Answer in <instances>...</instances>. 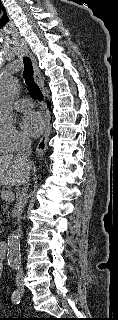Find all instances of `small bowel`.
Masks as SVG:
<instances>
[{"instance_id": "obj_1", "label": "small bowel", "mask_w": 118, "mask_h": 320, "mask_svg": "<svg viewBox=\"0 0 118 320\" xmlns=\"http://www.w3.org/2000/svg\"><path fill=\"white\" fill-rule=\"evenodd\" d=\"M0 268H1V265H0ZM0 277H1V272H0Z\"/></svg>"}]
</instances>
